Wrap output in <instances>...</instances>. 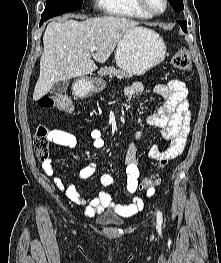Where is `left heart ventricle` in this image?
<instances>
[{
	"label": "left heart ventricle",
	"mask_w": 221,
	"mask_h": 263,
	"mask_svg": "<svg viewBox=\"0 0 221 263\" xmlns=\"http://www.w3.org/2000/svg\"><path fill=\"white\" fill-rule=\"evenodd\" d=\"M148 1V5L152 10L155 11H160L163 9L164 7V2L163 0H147Z\"/></svg>",
	"instance_id": "obj_1"
}]
</instances>
